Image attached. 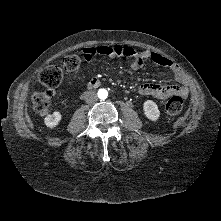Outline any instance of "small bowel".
Returning <instances> with one entry per match:
<instances>
[{
  "instance_id": "small-bowel-1",
  "label": "small bowel",
  "mask_w": 221,
  "mask_h": 221,
  "mask_svg": "<svg viewBox=\"0 0 221 221\" xmlns=\"http://www.w3.org/2000/svg\"><path fill=\"white\" fill-rule=\"evenodd\" d=\"M85 61L90 62L95 56L101 55L106 57H125L131 60V67L134 70H139L144 63L151 61L159 66L170 69L173 73L176 85L164 84H149L143 83L139 87L141 95L153 96L157 99H167L172 96H180L186 98L189 94L187 88V80L180 68L167 57L152 51H139L131 46L126 45H102L98 47H85L82 50Z\"/></svg>"
}]
</instances>
